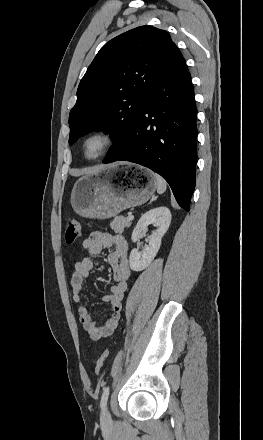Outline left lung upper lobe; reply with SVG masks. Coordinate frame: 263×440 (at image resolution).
Wrapping results in <instances>:
<instances>
[{
    "instance_id": "obj_1",
    "label": "left lung upper lobe",
    "mask_w": 263,
    "mask_h": 440,
    "mask_svg": "<svg viewBox=\"0 0 263 440\" xmlns=\"http://www.w3.org/2000/svg\"><path fill=\"white\" fill-rule=\"evenodd\" d=\"M175 46L165 30L152 26L137 27L107 42L78 86L69 115V144L103 130L115 141L108 157L127 149L137 115Z\"/></svg>"
}]
</instances>
